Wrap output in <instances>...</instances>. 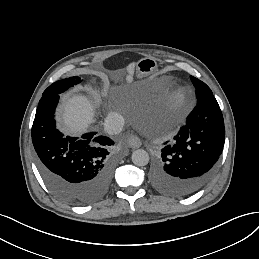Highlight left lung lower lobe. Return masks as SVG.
<instances>
[{
    "label": "left lung lower lobe",
    "mask_w": 259,
    "mask_h": 259,
    "mask_svg": "<svg viewBox=\"0 0 259 259\" xmlns=\"http://www.w3.org/2000/svg\"><path fill=\"white\" fill-rule=\"evenodd\" d=\"M198 106L175 136L161 150L150 171L159 192L186 197L201 189L213 176L225 141L223 115L212 92L197 95Z\"/></svg>",
    "instance_id": "0a47b994"
}]
</instances>
